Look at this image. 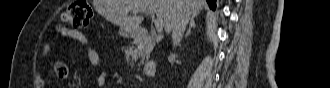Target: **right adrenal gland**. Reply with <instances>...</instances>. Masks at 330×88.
<instances>
[{"instance_id": "obj_1", "label": "right adrenal gland", "mask_w": 330, "mask_h": 88, "mask_svg": "<svg viewBox=\"0 0 330 88\" xmlns=\"http://www.w3.org/2000/svg\"><path fill=\"white\" fill-rule=\"evenodd\" d=\"M195 17H196V15H193L191 17L190 25H189V28L186 31L185 37H188L189 34H190V32H191V29L196 26V24H195Z\"/></svg>"}]
</instances>
